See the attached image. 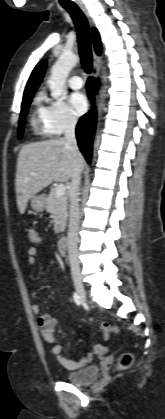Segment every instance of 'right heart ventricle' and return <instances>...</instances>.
I'll use <instances>...</instances> for the list:
<instances>
[{
	"label": "right heart ventricle",
	"instance_id": "right-heart-ventricle-1",
	"mask_svg": "<svg viewBox=\"0 0 165 419\" xmlns=\"http://www.w3.org/2000/svg\"><path fill=\"white\" fill-rule=\"evenodd\" d=\"M36 105H37V108H36V110L34 111L33 116H32V123H33V125H35V126H37V125H39V124L41 123V119H40V106H39V98L36 100Z\"/></svg>",
	"mask_w": 165,
	"mask_h": 419
}]
</instances>
